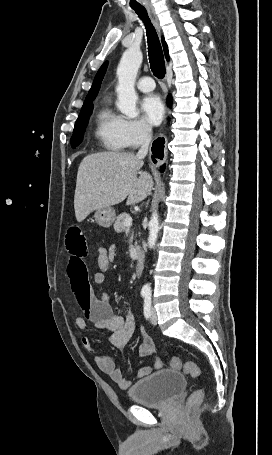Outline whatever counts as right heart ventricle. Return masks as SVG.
<instances>
[{"mask_svg":"<svg viewBox=\"0 0 272 455\" xmlns=\"http://www.w3.org/2000/svg\"><path fill=\"white\" fill-rule=\"evenodd\" d=\"M122 118L115 114L105 100L95 115V137L108 151H121L126 148L121 133Z\"/></svg>","mask_w":272,"mask_h":455,"instance_id":"obj_1","label":"right heart ventricle"}]
</instances>
